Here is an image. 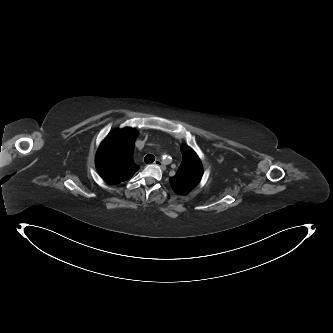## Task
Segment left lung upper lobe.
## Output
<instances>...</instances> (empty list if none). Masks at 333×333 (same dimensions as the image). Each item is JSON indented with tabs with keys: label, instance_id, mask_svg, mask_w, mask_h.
Instances as JSON below:
<instances>
[{
	"label": "left lung upper lobe",
	"instance_id": "5c2ea615",
	"mask_svg": "<svg viewBox=\"0 0 333 333\" xmlns=\"http://www.w3.org/2000/svg\"><path fill=\"white\" fill-rule=\"evenodd\" d=\"M181 152L182 163L175 176L169 178V182L175 193L186 195L200 182L203 169L201 161L193 149L182 145Z\"/></svg>",
	"mask_w": 333,
	"mask_h": 333
}]
</instances>
